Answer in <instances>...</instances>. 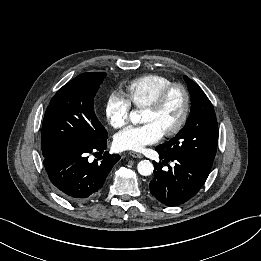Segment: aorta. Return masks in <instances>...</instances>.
Masks as SVG:
<instances>
[{"mask_svg": "<svg viewBox=\"0 0 261 261\" xmlns=\"http://www.w3.org/2000/svg\"><path fill=\"white\" fill-rule=\"evenodd\" d=\"M130 120L132 123H139L140 115L137 111H132L130 113ZM153 164L149 160H142L137 165V170L142 176H149L153 173Z\"/></svg>", "mask_w": 261, "mask_h": 261, "instance_id": "1", "label": "aorta"}]
</instances>
